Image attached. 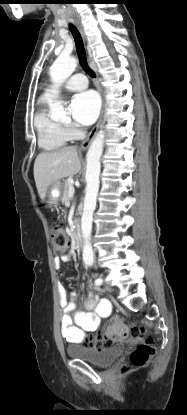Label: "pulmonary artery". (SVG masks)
Segmentation results:
<instances>
[{
	"mask_svg": "<svg viewBox=\"0 0 187 415\" xmlns=\"http://www.w3.org/2000/svg\"><path fill=\"white\" fill-rule=\"evenodd\" d=\"M88 86L86 77L81 73L72 75L66 82L65 88L71 91L83 90Z\"/></svg>",
	"mask_w": 187,
	"mask_h": 415,
	"instance_id": "e3ab8cb5",
	"label": "pulmonary artery"
}]
</instances>
